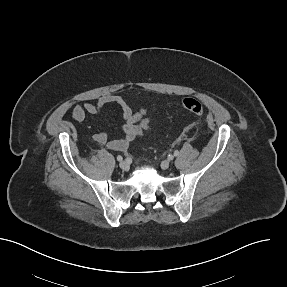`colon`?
Instances as JSON below:
<instances>
[{
  "label": "colon",
  "instance_id": "5ec220e1",
  "mask_svg": "<svg viewBox=\"0 0 287 287\" xmlns=\"http://www.w3.org/2000/svg\"><path fill=\"white\" fill-rule=\"evenodd\" d=\"M179 106L194 115H201L204 111L202 103L195 98H185L180 101Z\"/></svg>",
  "mask_w": 287,
  "mask_h": 287
}]
</instances>
